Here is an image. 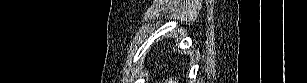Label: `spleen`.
Segmentation results:
<instances>
[{"instance_id":"obj_1","label":"spleen","mask_w":307,"mask_h":83,"mask_svg":"<svg viewBox=\"0 0 307 83\" xmlns=\"http://www.w3.org/2000/svg\"><path fill=\"white\" fill-rule=\"evenodd\" d=\"M178 82H179L178 78H175V80H172V77H171L169 78V80H166V83H178Z\"/></svg>"}]
</instances>
